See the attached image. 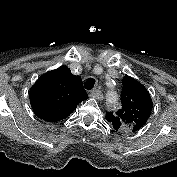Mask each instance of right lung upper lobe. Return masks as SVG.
Wrapping results in <instances>:
<instances>
[{
  "label": "right lung upper lobe",
  "instance_id": "obj_1",
  "mask_svg": "<svg viewBox=\"0 0 177 177\" xmlns=\"http://www.w3.org/2000/svg\"><path fill=\"white\" fill-rule=\"evenodd\" d=\"M30 104L36 116L47 122L68 117L88 95L82 79L66 66L42 75L30 89Z\"/></svg>",
  "mask_w": 177,
  "mask_h": 177
}]
</instances>
